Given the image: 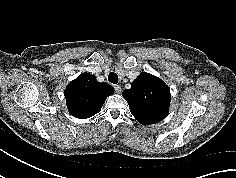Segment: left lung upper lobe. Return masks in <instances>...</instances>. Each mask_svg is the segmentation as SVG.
Wrapping results in <instances>:
<instances>
[{"label": "left lung upper lobe", "instance_id": "5c2ea615", "mask_svg": "<svg viewBox=\"0 0 236 178\" xmlns=\"http://www.w3.org/2000/svg\"><path fill=\"white\" fill-rule=\"evenodd\" d=\"M130 112L143 125L163 120L169 112L170 90L158 77L142 72L132 83L131 89L123 92Z\"/></svg>", "mask_w": 236, "mask_h": 178}]
</instances>
